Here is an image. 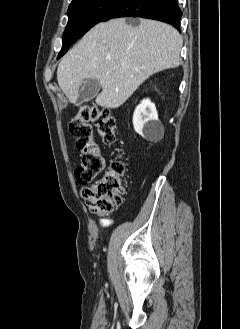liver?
Here are the masks:
<instances>
[{"instance_id":"liver-1","label":"liver","mask_w":240,"mask_h":329,"mask_svg":"<svg viewBox=\"0 0 240 329\" xmlns=\"http://www.w3.org/2000/svg\"><path fill=\"white\" fill-rule=\"evenodd\" d=\"M183 39L172 26L140 19L134 27L124 18L99 23L62 59L57 81L71 103L86 79H97L102 92L96 103L123 105L151 75L180 64Z\"/></svg>"}]
</instances>
